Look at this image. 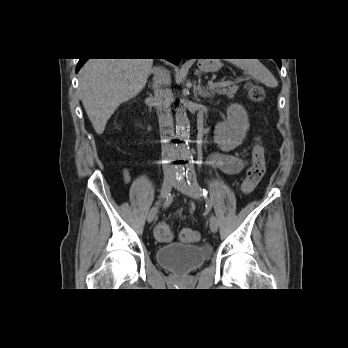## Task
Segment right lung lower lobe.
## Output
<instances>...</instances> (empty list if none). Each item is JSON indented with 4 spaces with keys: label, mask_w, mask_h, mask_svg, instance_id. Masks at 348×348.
I'll return each mask as SVG.
<instances>
[{
    "label": "right lung lower lobe",
    "mask_w": 348,
    "mask_h": 348,
    "mask_svg": "<svg viewBox=\"0 0 348 348\" xmlns=\"http://www.w3.org/2000/svg\"><path fill=\"white\" fill-rule=\"evenodd\" d=\"M169 61H171L174 64H179L180 59L179 58H175V59H167ZM87 61V59H79V62L77 64L76 67V72H78L80 70V68L84 65V63Z\"/></svg>",
    "instance_id": "obj_1"
}]
</instances>
